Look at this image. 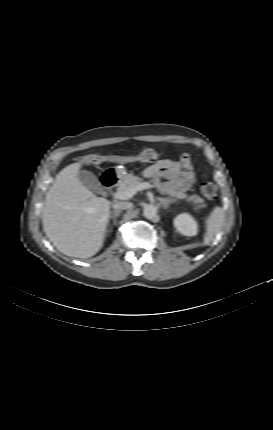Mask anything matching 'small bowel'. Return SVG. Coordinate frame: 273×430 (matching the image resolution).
<instances>
[{
	"instance_id": "obj_1",
	"label": "small bowel",
	"mask_w": 273,
	"mask_h": 430,
	"mask_svg": "<svg viewBox=\"0 0 273 430\" xmlns=\"http://www.w3.org/2000/svg\"><path fill=\"white\" fill-rule=\"evenodd\" d=\"M188 157L184 155L181 161L170 159L159 160L145 171L146 177H153L163 191L171 189L188 190L195 182L196 176L191 166L184 162ZM182 166L184 169H182Z\"/></svg>"
}]
</instances>
